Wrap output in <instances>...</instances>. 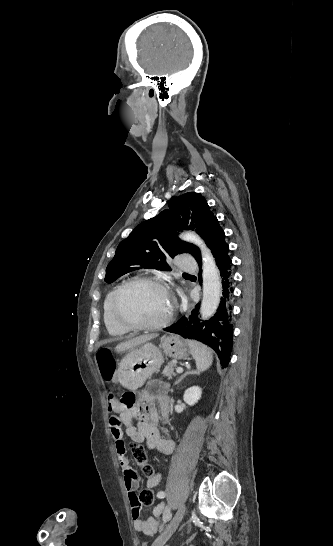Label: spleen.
<instances>
[{
  "instance_id": "spleen-1",
  "label": "spleen",
  "mask_w": 333,
  "mask_h": 546,
  "mask_svg": "<svg viewBox=\"0 0 333 546\" xmlns=\"http://www.w3.org/2000/svg\"><path fill=\"white\" fill-rule=\"evenodd\" d=\"M188 345L196 361L198 373L207 370L213 362V354L210 348L198 341H189Z\"/></svg>"
}]
</instances>
